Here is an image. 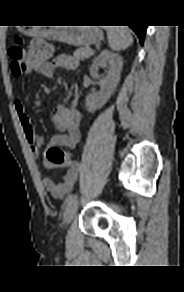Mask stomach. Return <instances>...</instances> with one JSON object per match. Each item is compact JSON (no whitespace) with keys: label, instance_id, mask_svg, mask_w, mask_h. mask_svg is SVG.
Instances as JSON below:
<instances>
[{"label":"stomach","instance_id":"obj_1","mask_svg":"<svg viewBox=\"0 0 184 292\" xmlns=\"http://www.w3.org/2000/svg\"><path fill=\"white\" fill-rule=\"evenodd\" d=\"M26 34L32 35L28 29H22ZM44 37L75 46H88L103 39V33L98 27H60L49 30Z\"/></svg>","mask_w":184,"mask_h":292}]
</instances>
